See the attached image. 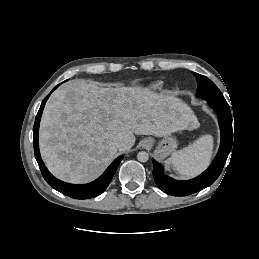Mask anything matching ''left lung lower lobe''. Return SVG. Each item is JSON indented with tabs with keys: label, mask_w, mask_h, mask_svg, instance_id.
I'll use <instances>...</instances> for the list:
<instances>
[{
	"label": "left lung lower lobe",
	"mask_w": 259,
	"mask_h": 259,
	"mask_svg": "<svg viewBox=\"0 0 259 259\" xmlns=\"http://www.w3.org/2000/svg\"><path fill=\"white\" fill-rule=\"evenodd\" d=\"M208 105L214 109L218 116V122L221 131V144L219 151L208 167L198 177L188 181H178L166 176L163 173V167L153 161V176L158 187L165 193L173 196H186L196 193L208 186H210L220 175L225 165L227 157L232 147V116L230 108L225 99L210 100L206 99Z\"/></svg>",
	"instance_id": "left-lung-lower-lobe-1"
}]
</instances>
